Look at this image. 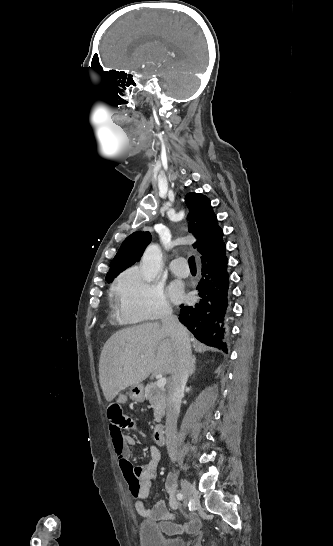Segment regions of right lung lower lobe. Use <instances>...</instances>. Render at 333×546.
<instances>
[{
	"mask_svg": "<svg viewBox=\"0 0 333 546\" xmlns=\"http://www.w3.org/2000/svg\"><path fill=\"white\" fill-rule=\"evenodd\" d=\"M225 244L207 260L202 259V278L197 286L200 301L194 306L181 305L179 320L194 336L209 346L226 351L224 323L229 305L227 273L228 259ZM226 316V317H225Z\"/></svg>",
	"mask_w": 333,
	"mask_h": 546,
	"instance_id": "obj_1",
	"label": "right lung lower lobe"
}]
</instances>
